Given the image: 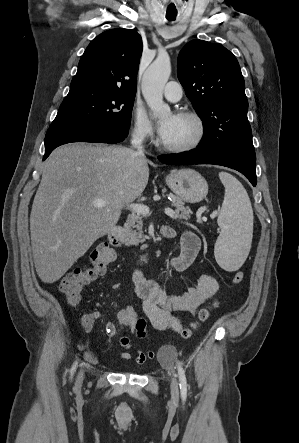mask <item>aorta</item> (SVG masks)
Wrapping results in <instances>:
<instances>
[{
	"label": "aorta",
	"mask_w": 299,
	"mask_h": 443,
	"mask_svg": "<svg viewBox=\"0 0 299 443\" xmlns=\"http://www.w3.org/2000/svg\"><path fill=\"white\" fill-rule=\"evenodd\" d=\"M171 74L168 55H159L147 68L142 78V94L155 118L171 114L170 107L163 101V89Z\"/></svg>",
	"instance_id": "1"
}]
</instances>
